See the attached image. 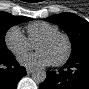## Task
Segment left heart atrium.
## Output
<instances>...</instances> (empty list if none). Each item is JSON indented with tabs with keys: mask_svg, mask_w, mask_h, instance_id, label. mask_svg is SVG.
Here are the masks:
<instances>
[{
	"mask_svg": "<svg viewBox=\"0 0 89 89\" xmlns=\"http://www.w3.org/2000/svg\"><path fill=\"white\" fill-rule=\"evenodd\" d=\"M19 61L26 66H47L52 63L48 54L44 51H37L34 53L24 54L20 56Z\"/></svg>",
	"mask_w": 89,
	"mask_h": 89,
	"instance_id": "obj_1",
	"label": "left heart atrium"
}]
</instances>
